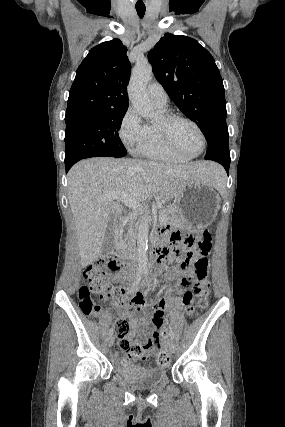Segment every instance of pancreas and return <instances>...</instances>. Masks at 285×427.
Segmentation results:
<instances>
[{
    "label": "pancreas",
    "instance_id": "pancreas-1",
    "mask_svg": "<svg viewBox=\"0 0 285 427\" xmlns=\"http://www.w3.org/2000/svg\"><path fill=\"white\" fill-rule=\"evenodd\" d=\"M160 215H163L165 219L163 220L164 224H169L172 226H178L180 224V221L178 219V216L176 214V210L174 207H166L160 210ZM123 245V240L118 243V246Z\"/></svg>",
    "mask_w": 285,
    "mask_h": 427
}]
</instances>
